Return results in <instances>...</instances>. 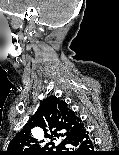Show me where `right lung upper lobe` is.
I'll list each match as a JSON object with an SVG mask.
<instances>
[{
    "instance_id": "obj_1",
    "label": "right lung upper lobe",
    "mask_w": 119,
    "mask_h": 155,
    "mask_svg": "<svg viewBox=\"0 0 119 155\" xmlns=\"http://www.w3.org/2000/svg\"><path fill=\"white\" fill-rule=\"evenodd\" d=\"M35 126L44 130L45 138L50 142L42 145L31 135ZM84 128L81 119L67 104L56 96H50L42 101L39 109L32 116L24 128L11 140L4 155H57L66 141ZM62 141L53 151L54 140ZM51 146V148L49 147Z\"/></svg>"
}]
</instances>
